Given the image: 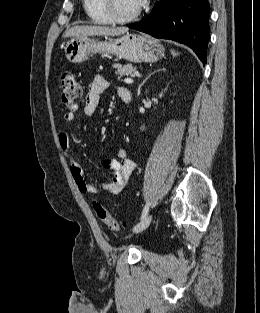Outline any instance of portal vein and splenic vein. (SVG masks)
<instances>
[{"label": "portal vein and splenic vein", "instance_id": "portal-vein-and-splenic-vein-1", "mask_svg": "<svg viewBox=\"0 0 260 313\" xmlns=\"http://www.w3.org/2000/svg\"><path fill=\"white\" fill-rule=\"evenodd\" d=\"M124 82H125L126 84H131V83H133V80H132L131 78H126V79L124 80Z\"/></svg>", "mask_w": 260, "mask_h": 313}]
</instances>
